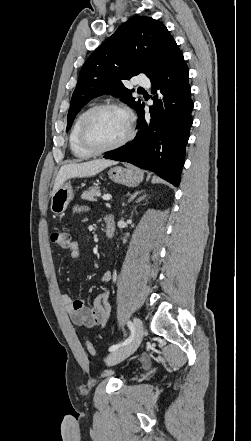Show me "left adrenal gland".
I'll list each match as a JSON object with an SVG mask.
<instances>
[{"label":"left adrenal gland","mask_w":251,"mask_h":441,"mask_svg":"<svg viewBox=\"0 0 251 441\" xmlns=\"http://www.w3.org/2000/svg\"><path fill=\"white\" fill-rule=\"evenodd\" d=\"M141 192H142V191H136V192H135V193H134V194L128 199V203L132 202V201L137 197V195L141 194ZM145 197H146V195L140 197L139 199L136 200V203L142 201Z\"/></svg>","instance_id":"obj_1"}]
</instances>
